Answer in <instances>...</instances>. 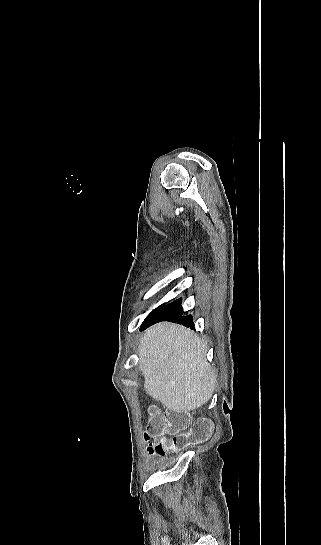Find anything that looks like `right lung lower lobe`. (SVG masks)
<instances>
[{
    "instance_id": "98d812e1",
    "label": "right lung lower lobe",
    "mask_w": 321,
    "mask_h": 545,
    "mask_svg": "<svg viewBox=\"0 0 321 545\" xmlns=\"http://www.w3.org/2000/svg\"><path fill=\"white\" fill-rule=\"evenodd\" d=\"M181 303H182V299L179 298L168 305L155 309L144 320V322L142 323L141 329H145L157 322H161L165 320L170 322L181 323L184 326L190 327L191 329H193V326H194L193 317L192 315L182 316Z\"/></svg>"
}]
</instances>
